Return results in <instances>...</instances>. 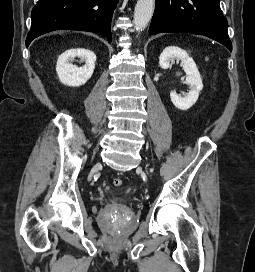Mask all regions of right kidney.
Masks as SVG:
<instances>
[{
	"mask_svg": "<svg viewBox=\"0 0 255 272\" xmlns=\"http://www.w3.org/2000/svg\"><path fill=\"white\" fill-rule=\"evenodd\" d=\"M79 57L85 62L82 67H77L71 62ZM96 62V55L85 48H73L62 53L57 61L56 72L60 82L65 85L78 87L84 85L92 76Z\"/></svg>",
	"mask_w": 255,
	"mask_h": 272,
	"instance_id": "ca27d5eb",
	"label": "right kidney"
}]
</instances>
